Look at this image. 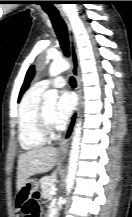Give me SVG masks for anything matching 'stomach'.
I'll return each instance as SVG.
<instances>
[{
  "instance_id": "stomach-1",
  "label": "stomach",
  "mask_w": 132,
  "mask_h": 217,
  "mask_svg": "<svg viewBox=\"0 0 132 217\" xmlns=\"http://www.w3.org/2000/svg\"><path fill=\"white\" fill-rule=\"evenodd\" d=\"M23 188H27L30 195L36 192L39 188V182L35 180H27L26 184L23 186Z\"/></svg>"
}]
</instances>
